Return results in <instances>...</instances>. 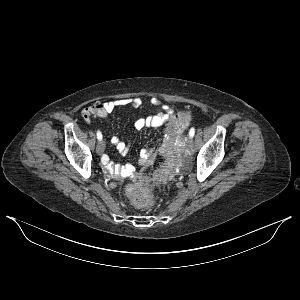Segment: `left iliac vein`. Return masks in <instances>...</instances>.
I'll list each match as a JSON object with an SVG mask.
<instances>
[{
  "label": "left iliac vein",
  "mask_w": 300,
  "mask_h": 300,
  "mask_svg": "<svg viewBox=\"0 0 300 300\" xmlns=\"http://www.w3.org/2000/svg\"><path fill=\"white\" fill-rule=\"evenodd\" d=\"M185 143H186L187 148H188L190 151H192V150H193V140H192V137L187 136V137L185 138Z\"/></svg>",
  "instance_id": "1"
}]
</instances>
